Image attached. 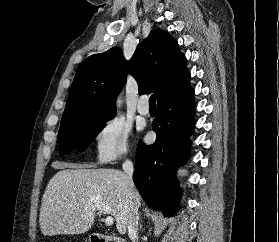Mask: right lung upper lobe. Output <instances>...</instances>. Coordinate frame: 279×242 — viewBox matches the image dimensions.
I'll list each match as a JSON object with an SVG mask.
<instances>
[{"label": "right lung upper lobe", "instance_id": "right-lung-upper-lobe-1", "mask_svg": "<svg viewBox=\"0 0 279 242\" xmlns=\"http://www.w3.org/2000/svg\"><path fill=\"white\" fill-rule=\"evenodd\" d=\"M132 74L139 92L158 93V102L190 86L186 57L177 41L167 32L154 29L141 42L130 61L120 48L89 56L77 69L60 126L91 118L115 116L116 96Z\"/></svg>", "mask_w": 279, "mask_h": 242}]
</instances>
